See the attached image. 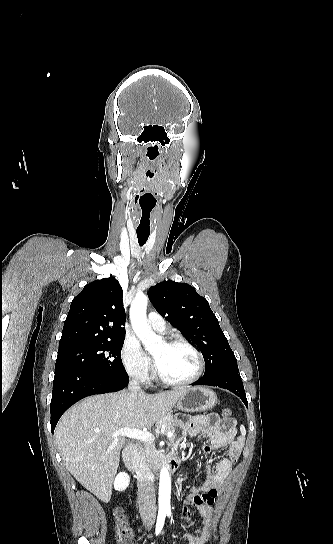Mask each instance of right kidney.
I'll return each mask as SVG.
<instances>
[{
  "mask_svg": "<svg viewBox=\"0 0 333 544\" xmlns=\"http://www.w3.org/2000/svg\"><path fill=\"white\" fill-rule=\"evenodd\" d=\"M130 482L129 475L125 472L119 473L114 481V488L117 491H123L125 490Z\"/></svg>",
  "mask_w": 333,
  "mask_h": 544,
  "instance_id": "obj_1",
  "label": "right kidney"
}]
</instances>
